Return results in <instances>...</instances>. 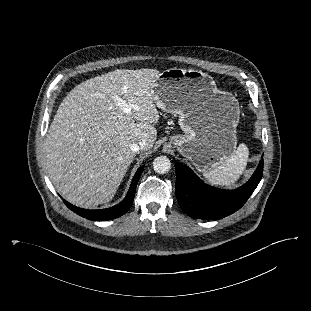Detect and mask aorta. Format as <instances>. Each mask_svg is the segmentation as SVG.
<instances>
[{
	"instance_id": "obj_1",
	"label": "aorta",
	"mask_w": 311,
	"mask_h": 311,
	"mask_svg": "<svg viewBox=\"0 0 311 311\" xmlns=\"http://www.w3.org/2000/svg\"><path fill=\"white\" fill-rule=\"evenodd\" d=\"M171 168V162L166 156H158L153 161V169L159 174L167 173Z\"/></svg>"
}]
</instances>
